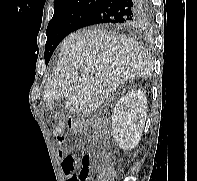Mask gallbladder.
<instances>
[{
    "mask_svg": "<svg viewBox=\"0 0 197 181\" xmlns=\"http://www.w3.org/2000/svg\"><path fill=\"white\" fill-rule=\"evenodd\" d=\"M63 111V106H61V102L59 100L55 101V107L53 108L52 112L55 115H59Z\"/></svg>",
    "mask_w": 197,
    "mask_h": 181,
    "instance_id": "obj_1",
    "label": "gallbladder"
}]
</instances>
